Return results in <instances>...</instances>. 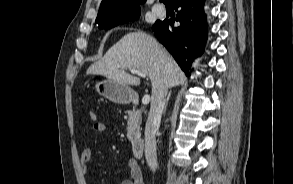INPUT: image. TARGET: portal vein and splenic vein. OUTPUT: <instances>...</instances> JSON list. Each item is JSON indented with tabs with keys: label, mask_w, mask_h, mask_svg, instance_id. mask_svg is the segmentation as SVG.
<instances>
[{
	"label": "portal vein and splenic vein",
	"mask_w": 293,
	"mask_h": 184,
	"mask_svg": "<svg viewBox=\"0 0 293 184\" xmlns=\"http://www.w3.org/2000/svg\"><path fill=\"white\" fill-rule=\"evenodd\" d=\"M130 72L132 74H137V75H139L140 77H143V78L146 77L145 73H143V72H141L140 70H137V69H130ZM149 101H150V95H148V94L144 95L143 98H142V103L144 105H147L149 103Z\"/></svg>",
	"instance_id": "18ae733b"
}]
</instances>
